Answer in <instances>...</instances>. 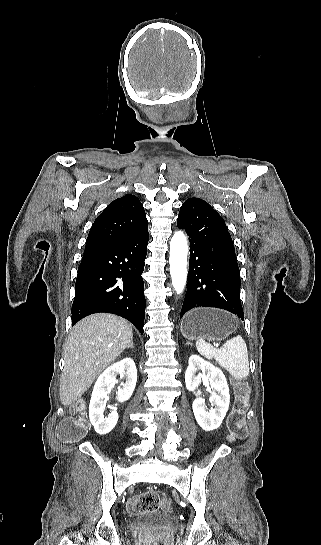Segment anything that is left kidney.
<instances>
[{
	"mask_svg": "<svg viewBox=\"0 0 321 545\" xmlns=\"http://www.w3.org/2000/svg\"><path fill=\"white\" fill-rule=\"evenodd\" d=\"M198 369L202 373H206V379H209L212 395L209 397V403L215 409L206 411L205 399H195L192 409L195 419L202 427L203 431H214L220 427L230 403L229 387L226 377L220 369L204 361L198 355H191L189 365L185 373V385L188 391H196L198 389L203 375H196ZM196 395H201V391H197Z\"/></svg>",
	"mask_w": 321,
	"mask_h": 545,
	"instance_id": "obj_1",
	"label": "left kidney"
}]
</instances>
